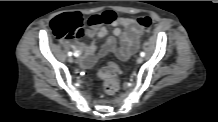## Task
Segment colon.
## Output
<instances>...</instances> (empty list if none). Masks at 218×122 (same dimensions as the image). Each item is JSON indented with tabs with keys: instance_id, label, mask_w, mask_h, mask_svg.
<instances>
[{
	"instance_id": "obj_1",
	"label": "colon",
	"mask_w": 218,
	"mask_h": 122,
	"mask_svg": "<svg viewBox=\"0 0 218 122\" xmlns=\"http://www.w3.org/2000/svg\"><path fill=\"white\" fill-rule=\"evenodd\" d=\"M83 23L84 20L79 13H67L56 17L52 21L51 27L58 38L70 40L82 36ZM137 23L142 31H147L151 27L152 20L149 16H143L137 20ZM122 74V69L113 62H109L99 70L98 76L103 80L104 89L108 94H115L118 91L119 77H121Z\"/></svg>"
}]
</instances>
